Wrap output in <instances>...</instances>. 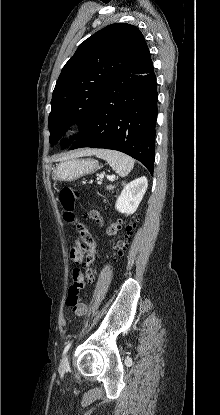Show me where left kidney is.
<instances>
[{"label":"left kidney","mask_w":220,"mask_h":415,"mask_svg":"<svg viewBox=\"0 0 220 415\" xmlns=\"http://www.w3.org/2000/svg\"><path fill=\"white\" fill-rule=\"evenodd\" d=\"M147 187L148 181L146 177L131 181L124 187L120 196L117 198L115 208L121 213L127 215L133 214L137 210Z\"/></svg>","instance_id":"5707ae66"}]
</instances>
